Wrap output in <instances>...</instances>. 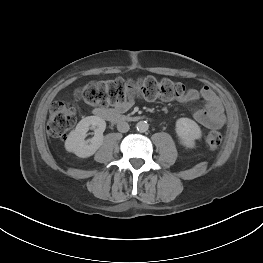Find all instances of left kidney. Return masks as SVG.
I'll return each instance as SVG.
<instances>
[{
  "label": "left kidney",
  "instance_id": "1",
  "mask_svg": "<svg viewBox=\"0 0 263 263\" xmlns=\"http://www.w3.org/2000/svg\"><path fill=\"white\" fill-rule=\"evenodd\" d=\"M175 130L182 144L188 148H193L195 140L200 139L202 135L198 124L189 118H179Z\"/></svg>",
  "mask_w": 263,
  "mask_h": 263
}]
</instances>
